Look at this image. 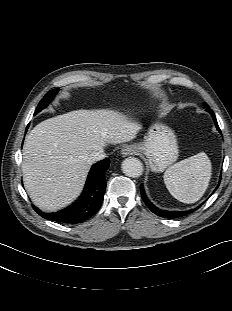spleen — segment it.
Returning <instances> with one entry per match:
<instances>
[{"label":"spleen","mask_w":232,"mask_h":311,"mask_svg":"<svg viewBox=\"0 0 232 311\" xmlns=\"http://www.w3.org/2000/svg\"><path fill=\"white\" fill-rule=\"evenodd\" d=\"M211 162L204 152L184 159L164 173L170 194L183 203H194L205 193L211 178Z\"/></svg>","instance_id":"obj_1"}]
</instances>
